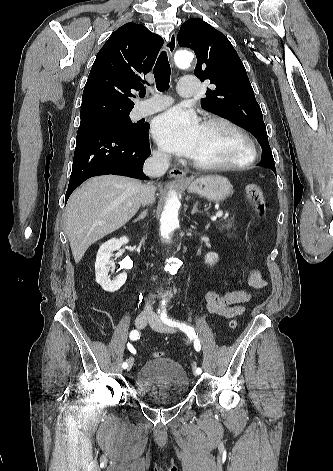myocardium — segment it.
<instances>
[{"label":"myocardium","mask_w":333,"mask_h":471,"mask_svg":"<svg viewBox=\"0 0 333 471\" xmlns=\"http://www.w3.org/2000/svg\"><path fill=\"white\" fill-rule=\"evenodd\" d=\"M214 124L226 126L235 132L242 140L245 152L241 158L223 163H202L192 159L193 166L197 169L205 171H220L243 169L252 164L256 158V147L248 132L234 121L222 116L209 117L203 121L202 126H209Z\"/></svg>","instance_id":"myocardium-1"}]
</instances>
